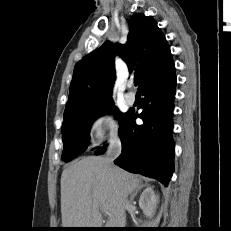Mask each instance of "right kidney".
<instances>
[{"mask_svg":"<svg viewBox=\"0 0 231 231\" xmlns=\"http://www.w3.org/2000/svg\"><path fill=\"white\" fill-rule=\"evenodd\" d=\"M159 201L158 195L155 194L153 187L146 188L139 198V206L147 216H153Z\"/></svg>","mask_w":231,"mask_h":231,"instance_id":"1","label":"right kidney"}]
</instances>
